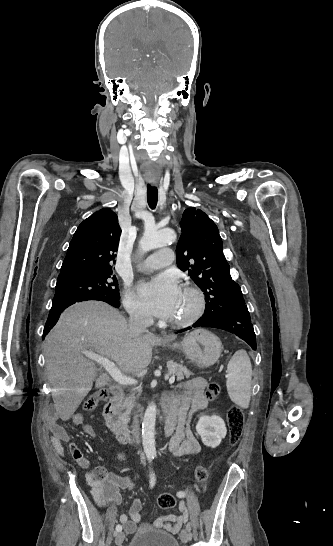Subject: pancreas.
<instances>
[{
  "instance_id": "pancreas-1",
  "label": "pancreas",
  "mask_w": 333,
  "mask_h": 546,
  "mask_svg": "<svg viewBox=\"0 0 333 546\" xmlns=\"http://www.w3.org/2000/svg\"><path fill=\"white\" fill-rule=\"evenodd\" d=\"M167 367L168 374L176 376L177 381H181L184 379V377L188 378L190 375H192V372H190L185 366L177 364L175 362H168ZM141 391L142 390L140 388H136L133 390V393L130 396L122 398V408L125 410L124 414L126 416L131 413L135 405V394L138 393V395H140Z\"/></svg>"
}]
</instances>
